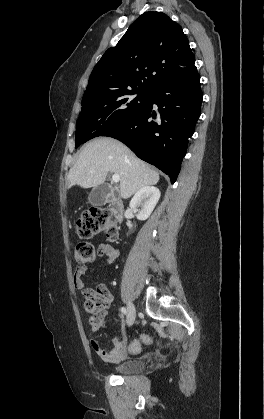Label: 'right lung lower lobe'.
<instances>
[{"mask_svg": "<svg viewBox=\"0 0 264 419\" xmlns=\"http://www.w3.org/2000/svg\"><path fill=\"white\" fill-rule=\"evenodd\" d=\"M202 98L198 73L185 81L160 84L137 112L102 136L120 140L174 183L200 117Z\"/></svg>", "mask_w": 264, "mask_h": 419, "instance_id": "1", "label": "right lung lower lobe"}]
</instances>
